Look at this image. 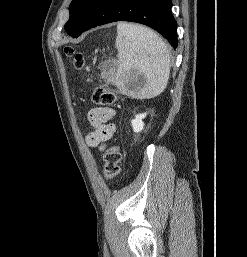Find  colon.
Here are the masks:
<instances>
[{
	"mask_svg": "<svg viewBox=\"0 0 247 257\" xmlns=\"http://www.w3.org/2000/svg\"><path fill=\"white\" fill-rule=\"evenodd\" d=\"M65 54L73 57V64L77 70H82L85 67L84 55L76 51L73 47H66ZM115 94L112 90L104 87H96L92 94L94 103L101 106H109L115 101ZM104 176L111 180L115 178L120 172V165L122 161V154L117 145L109 146L104 152Z\"/></svg>",
	"mask_w": 247,
	"mask_h": 257,
	"instance_id": "5ec220e1",
	"label": "colon"
}]
</instances>
